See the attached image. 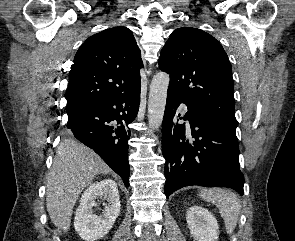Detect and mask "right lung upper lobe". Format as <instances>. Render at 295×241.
Returning <instances> with one entry per match:
<instances>
[{
	"instance_id": "right-lung-upper-lobe-1",
	"label": "right lung upper lobe",
	"mask_w": 295,
	"mask_h": 241,
	"mask_svg": "<svg viewBox=\"0 0 295 241\" xmlns=\"http://www.w3.org/2000/svg\"><path fill=\"white\" fill-rule=\"evenodd\" d=\"M141 51L132 31L114 27L89 37L69 72L67 114L100 98L131 91L140 84Z\"/></svg>"
}]
</instances>
